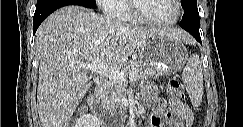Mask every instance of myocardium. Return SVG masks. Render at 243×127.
Listing matches in <instances>:
<instances>
[{
    "mask_svg": "<svg viewBox=\"0 0 243 127\" xmlns=\"http://www.w3.org/2000/svg\"><path fill=\"white\" fill-rule=\"evenodd\" d=\"M140 1L141 0H131L130 10L135 19L141 23L152 26L167 27L176 24L182 15V4L180 0H173L176 7V15L167 21H158L145 16L140 9Z\"/></svg>",
    "mask_w": 243,
    "mask_h": 127,
    "instance_id": "obj_1",
    "label": "myocardium"
}]
</instances>
